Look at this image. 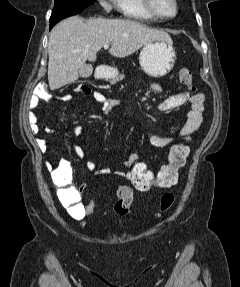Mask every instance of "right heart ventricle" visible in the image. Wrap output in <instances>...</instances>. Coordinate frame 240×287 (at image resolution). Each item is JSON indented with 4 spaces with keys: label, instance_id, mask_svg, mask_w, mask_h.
Here are the masks:
<instances>
[{
    "label": "right heart ventricle",
    "instance_id": "obj_1",
    "mask_svg": "<svg viewBox=\"0 0 240 287\" xmlns=\"http://www.w3.org/2000/svg\"><path fill=\"white\" fill-rule=\"evenodd\" d=\"M115 7L118 13L125 18L144 21L156 20L146 10L143 0H115Z\"/></svg>",
    "mask_w": 240,
    "mask_h": 287
}]
</instances>
